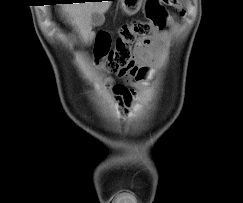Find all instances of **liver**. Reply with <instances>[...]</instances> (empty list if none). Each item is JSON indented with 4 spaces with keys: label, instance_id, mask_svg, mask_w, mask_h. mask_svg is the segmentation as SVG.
<instances>
[{
    "label": "liver",
    "instance_id": "1",
    "mask_svg": "<svg viewBox=\"0 0 243 203\" xmlns=\"http://www.w3.org/2000/svg\"><path fill=\"white\" fill-rule=\"evenodd\" d=\"M110 5V1L72 3L67 4L62 9L67 13L71 23L78 30L82 41L88 44L95 37V33L92 31V14L94 12L104 14Z\"/></svg>",
    "mask_w": 243,
    "mask_h": 203
}]
</instances>
